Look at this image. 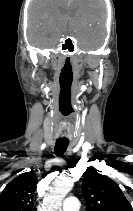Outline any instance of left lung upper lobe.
<instances>
[{
  "label": "left lung upper lobe",
  "instance_id": "obj_1",
  "mask_svg": "<svg viewBox=\"0 0 133 211\" xmlns=\"http://www.w3.org/2000/svg\"><path fill=\"white\" fill-rule=\"evenodd\" d=\"M82 190L88 211H132L119 186L93 167L83 174Z\"/></svg>",
  "mask_w": 133,
  "mask_h": 211
}]
</instances>
